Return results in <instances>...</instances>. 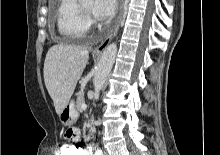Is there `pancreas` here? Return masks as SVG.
Here are the masks:
<instances>
[{
	"mask_svg": "<svg viewBox=\"0 0 220 155\" xmlns=\"http://www.w3.org/2000/svg\"><path fill=\"white\" fill-rule=\"evenodd\" d=\"M85 103V99H84V93L83 92H79L77 95V100H76V105L75 108L77 110H81V106Z\"/></svg>",
	"mask_w": 220,
	"mask_h": 155,
	"instance_id": "cf45deb5",
	"label": "pancreas"
}]
</instances>
